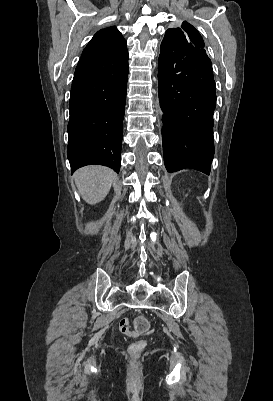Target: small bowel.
Segmentation results:
<instances>
[{
  "label": "small bowel",
  "mask_w": 273,
  "mask_h": 401,
  "mask_svg": "<svg viewBox=\"0 0 273 401\" xmlns=\"http://www.w3.org/2000/svg\"><path fill=\"white\" fill-rule=\"evenodd\" d=\"M119 332L123 338H134L135 332L129 327L128 320L126 318L118 319ZM153 331V330H152Z\"/></svg>",
  "instance_id": "obj_1"
}]
</instances>
